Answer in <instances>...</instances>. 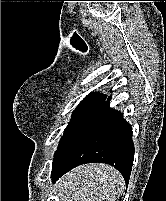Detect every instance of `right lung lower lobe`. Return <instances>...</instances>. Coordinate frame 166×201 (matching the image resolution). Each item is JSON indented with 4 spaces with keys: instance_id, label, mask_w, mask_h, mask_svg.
<instances>
[{
    "instance_id": "1",
    "label": "right lung lower lobe",
    "mask_w": 166,
    "mask_h": 201,
    "mask_svg": "<svg viewBox=\"0 0 166 201\" xmlns=\"http://www.w3.org/2000/svg\"><path fill=\"white\" fill-rule=\"evenodd\" d=\"M110 100L111 96L56 153L53 182L78 165L99 162L115 167L128 184L135 151L132 129L120 112L109 107Z\"/></svg>"
}]
</instances>
